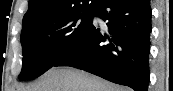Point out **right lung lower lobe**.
<instances>
[{"label":"right lung lower lobe","mask_w":173,"mask_h":91,"mask_svg":"<svg viewBox=\"0 0 173 91\" xmlns=\"http://www.w3.org/2000/svg\"><path fill=\"white\" fill-rule=\"evenodd\" d=\"M150 0H98L81 41L53 66H71L135 91H147L151 27Z\"/></svg>","instance_id":"right-lung-lower-lobe-1"}]
</instances>
